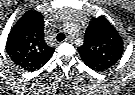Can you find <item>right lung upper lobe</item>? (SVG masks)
Wrapping results in <instances>:
<instances>
[{"instance_id": "cb5924a9", "label": "right lung upper lobe", "mask_w": 135, "mask_h": 95, "mask_svg": "<svg viewBox=\"0 0 135 95\" xmlns=\"http://www.w3.org/2000/svg\"><path fill=\"white\" fill-rule=\"evenodd\" d=\"M54 48L44 41V21L40 12L27 11L11 29L6 51L16 65L34 71L51 58Z\"/></svg>"}]
</instances>
